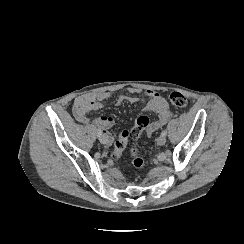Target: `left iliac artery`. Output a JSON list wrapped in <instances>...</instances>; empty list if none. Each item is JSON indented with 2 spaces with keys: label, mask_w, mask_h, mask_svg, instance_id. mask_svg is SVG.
<instances>
[{
  "label": "left iliac artery",
  "mask_w": 244,
  "mask_h": 244,
  "mask_svg": "<svg viewBox=\"0 0 244 244\" xmlns=\"http://www.w3.org/2000/svg\"><path fill=\"white\" fill-rule=\"evenodd\" d=\"M162 136H166L167 135V130H163L161 133Z\"/></svg>",
  "instance_id": "left-iliac-artery-1"
}]
</instances>
